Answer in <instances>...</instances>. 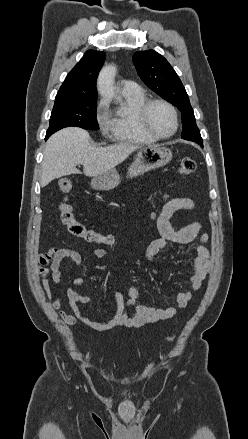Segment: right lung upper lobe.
Listing matches in <instances>:
<instances>
[{"instance_id": "1", "label": "right lung upper lobe", "mask_w": 248, "mask_h": 439, "mask_svg": "<svg viewBox=\"0 0 248 439\" xmlns=\"http://www.w3.org/2000/svg\"><path fill=\"white\" fill-rule=\"evenodd\" d=\"M104 60V52L88 50L68 73L56 98H97L96 79Z\"/></svg>"}]
</instances>
